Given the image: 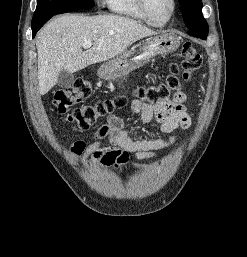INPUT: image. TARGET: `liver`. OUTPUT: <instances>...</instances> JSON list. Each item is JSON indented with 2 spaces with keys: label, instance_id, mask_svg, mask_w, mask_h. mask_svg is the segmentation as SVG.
I'll return each instance as SVG.
<instances>
[{
  "label": "liver",
  "instance_id": "1",
  "mask_svg": "<svg viewBox=\"0 0 247 257\" xmlns=\"http://www.w3.org/2000/svg\"><path fill=\"white\" fill-rule=\"evenodd\" d=\"M156 32L137 21L118 15H61L46 24L36 39L39 93L45 95L66 70L80 71L110 60L136 41ZM85 41L92 47L82 50Z\"/></svg>",
  "mask_w": 247,
  "mask_h": 257
}]
</instances>
